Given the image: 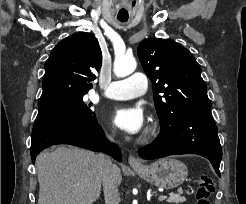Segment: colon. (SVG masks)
<instances>
[{
    "label": "colon",
    "instance_id": "obj_1",
    "mask_svg": "<svg viewBox=\"0 0 246 204\" xmlns=\"http://www.w3.org/2000/svg\"><path fill=\"white\" fill-rule=\"evenodd\" d=\"M215 191V183L208 175H201L199 177L196 190V204H211L210 196Z\"/></svg>",
    "mask_w": 246,
    "mask_h": 204
}]
</instances>
